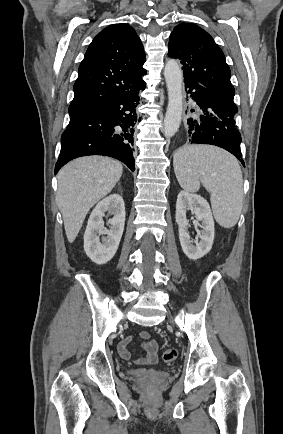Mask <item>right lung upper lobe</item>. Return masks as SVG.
Segmentation results:
<instances>
[{"mask_svg": "<svg viewBox=\"0 0 283 434\" xmlns=\"http://www.w3.org/2000/svg\"><path fill=\"white\" fill-rule=\"evenodd\" d=\"M142 42L128 24L103 29L89 45L74 84L69 114L122 96L139 87L146 70Z\"/></svg>", "mask_w": 283, "mask_h": 434, "instance_id": "obj_1", "label": "right lung upper lobe"}]
</instances>
